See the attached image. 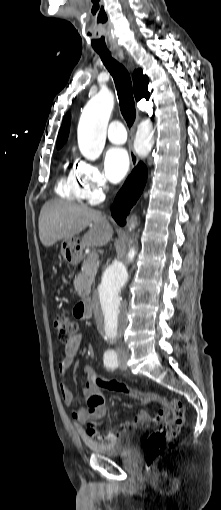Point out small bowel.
I'll return each instance as SVG.
<instances>
[{
	"label": "small bowel",
	"instance_id": "c3829d8e",
	"mask_svg": "<svg viewBox=\"0 0 221 510\" xmlns=\"http://www.w3.org/2000/svg\"><path fill=\"white\" fill-rule=\"evenodd\" d=\"M82 345V337L80 334H76L72 341L65 345L63 356L58 362V369L61 375H65L72 366L76 357L78 356ZM85 374L88 376L84 387L82 388L83 395L88 398L92 395H98L102 397V394L93 383V377L95 370L92 366L87 365L84 368ZM60 392L64 403L67 406H72L74 403V396L69 388L66 381L62 380L60 383ZM156 397H160L156 394H152ZM103 398V397H102ZM161 410V409H160ZM159 410V411H160ZM158 411V413H159ZM157 413V414H158ZM72 417L79 423L88 424V435L96 438L103 442L113 441L120 436L128 433L129 431L135 430L139 427L145 426L148 423L155 421L157 422L156 416L152 417L147 411H139L132 421L126 422L121 426V429L117 432L101 433L97 426L96 421L102 419L106 415V406L104 400L94 406H88L86 408H75L71 412Z\"/></svg>",
	"mask_w": 221,
	"mask_h": 510
}]
</instances>
